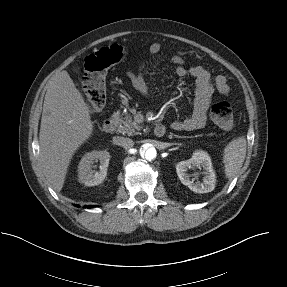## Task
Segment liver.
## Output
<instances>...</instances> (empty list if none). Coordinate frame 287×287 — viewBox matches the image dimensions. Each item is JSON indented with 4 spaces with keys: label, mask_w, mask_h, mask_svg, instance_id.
I'll list each match as a JSON object with an SVG mask.
<instances>
[{
    "label": "liver",
    "mask_w": 287,
    "mask_h": 287,
    "mask_svg": "<svg viewBox=\"0 0 287 287\" xmlns=\"http://www.w3.org/2000/svg\"><path fill=\"white\" fill-rule=\"evenodd\" d=\"M92 131L89 108L63 70L48 82L39 132L41 167L55 191L62 190L74 153Z\"/></svg>",
    "instance_id": "6515ba94"
}]
</instances>
